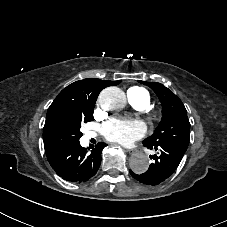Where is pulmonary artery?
<instances>
[{
    "label": "pulmonary artery",
    "instance_id": "obj_1",
    "mask_svg": "<svg viewBox=\"0 0 227 227\" xmlns=\"http://www.w3.org/2000/svg\"><path fill=\"white\" fill-rule=\"evenodd\" d=\"M127 95L129 99H132L130 94H127ZM135 106L138 108H144V102L140 101L138 104H135Z\"/></svg>",
    "mask_w": 227,
    "mask_h": 227
}]
</instances>
